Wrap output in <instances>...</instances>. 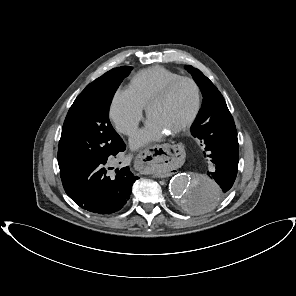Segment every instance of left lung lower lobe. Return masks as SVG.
Here are the masks:
<instances>
[{"label": "left lung lower lobe", "instance_id": "left-lung-lower-lobe-1", "mask_svg": "<svg viewBox=\"0 0 296 296\" xmlns=\"http://www.w3.org/2000/svg\"><path fill=\"white\" fill-rule=\"evenodd\" d=\"M200 127L198 135L205 146L204 154L215 167L207 175L217 182L218 187L206 185L199 196L192 190L188 206L206 210L221 201L232 188L238 169L239 145L235 123L226 104Z\"/></svg>", "mask_w": 296, "mask_h": 296}]
</instances>
